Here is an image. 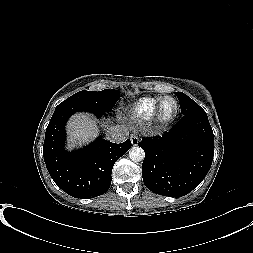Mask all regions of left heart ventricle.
Masks as SVG:
<instances>
[{"label": "left heart ventricle", "mask_w": 253, "mask_h": 253, "mask_svg": "<svg viewBox=\"0 0 253 253\" xmlns=\"http://www.w3.org/2000/svg\"><path fill=\"white\" fill-rule=\"evenodd\" d=\"M175 111V104L172 100L168 99L164 101L162 108H161V114L164 117L171 116Z\"/></svg>", "instance_id": "b2bd125f"}]
</instances>
